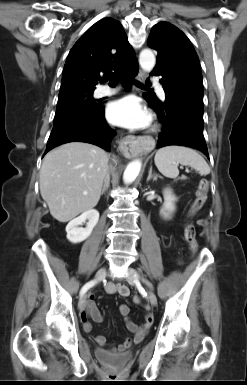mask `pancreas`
Instances as JSON below:
<instances>
[{
  "label": "pancreas",
  "instance_id": "pancreas-1",
  "mask_svg": "<svg viewBox=\"0 0 247 385\" xmlns=\"http://www.w3.org/2000/svg\"><path fill=\"white\" fill-rule=\"evenodd\" d=\"M180 179H181V180H185V179H186V177H185V176H182V177H180Z\"/></svg>",
  "mask_w": 247,
  "mask_h": 385
}]
</instances>
